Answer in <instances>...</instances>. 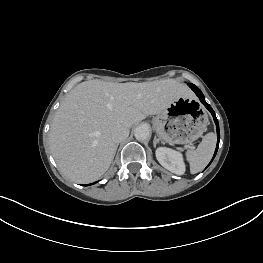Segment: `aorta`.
<instances>
[{
  "mask_svg": "<svg viewBox=\"0 0 263 263\" xmlns=\"http://www.w3.org/2000/svg\"><path fill=\"white\" fill-rule=\"evenodd\" d=\"M150 129L146 125H140L135 128L134 136L138 141H145L150 137Z\"/></svg>",
  "mask_w": 263,
  "mask_h": 263,
  "instance_id": "1",
  "label": "aorta"
}]
</instances>
